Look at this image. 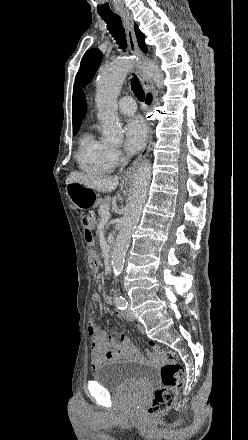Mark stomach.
Returning a JSON list of instances; mask_svg holds the SVG:
<instances>
[{
    "mask_svg": "<svg viewBox=\"0 0 248 440\" xmlns=\"http://www.w3.org/2000/svg\"><path fill=\"white\" fill-rule=\"evenodd\" d=\"M70 201L78 209L94 207L98 203L96 192L85 185L79 183H70L66 188Z\"/></svg>",
    "mask_w": 248,
    "mask_h": 440,
    "instance_id": "obj_1",
    "label": "stomach"
}]
</instances>
